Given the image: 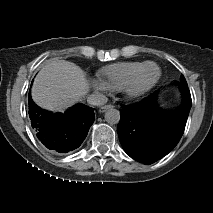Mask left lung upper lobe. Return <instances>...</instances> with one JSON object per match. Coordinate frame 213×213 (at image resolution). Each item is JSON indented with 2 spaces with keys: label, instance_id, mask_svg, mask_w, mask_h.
Listing matches in <instances>:
<instances>
[{
  "label": "left lung upper lobe",
  "instance_id": "obj_1",
  "mask_svg": "<svg viewBox=\"0 0 213 213\" xmlns=\"http://www.w3.org/2000/svg\"><path fill=\"white\" fill-rule=\"evenodd\" d=\"M182 82H186V80H185L184 76H182Z\"/></svg>",
  "mask_w": 213,
  "mask_h": 213
}]
</instances>
